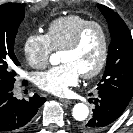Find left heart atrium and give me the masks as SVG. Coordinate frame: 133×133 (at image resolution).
<instances>
[{
	"label": "left heart atrium",
	"instance_id": "obj_1",
	"mask_svg": "<svg viewBox=\"0 0 133 133\" xmlns=\"http://www.w3.org/2000/svg\"><path fill=\"white\" fill-rule=\"evenodd\" d=\"M79 77L78 69L72 63L65 62L36 74L35 83L46 92L63 96L68 93L71 86L77 84Z\"/></svg>",
	"mask_w": 133,
	"mask_h": 133
}]
</instances>
